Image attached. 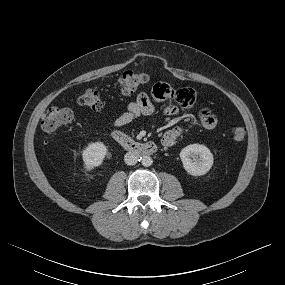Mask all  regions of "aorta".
<instances>
[{"label": "aorta", "mask_w": 285, "mask_h": 285, "mask_svg": "<svg viewBox=\"0 0 285 285\" xmlns=\"http://www.w3.org/2000/svg\"><path fill=\"white\" fill-rule=\"evenodd\" d=\"M141 163L143 166L149 167L152 165L153 160L150 156L146 155V156L141 157Z\"/></svg>", "instance_id": "1"}]
</instances>
